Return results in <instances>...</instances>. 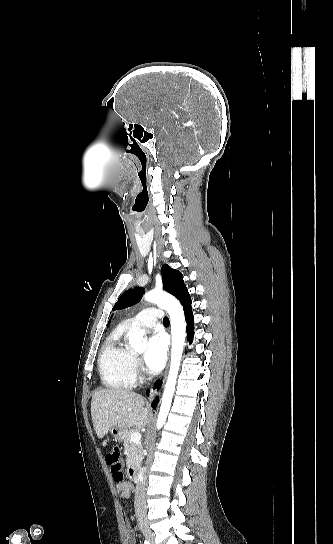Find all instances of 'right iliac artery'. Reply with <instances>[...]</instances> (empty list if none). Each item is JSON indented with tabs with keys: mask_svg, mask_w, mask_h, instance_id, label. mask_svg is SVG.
I'll use <instances>...</instances> for the list:
<instances>
[{
	"mask_svg": "<svg viewBox=\"0 0 333 544\" xmlns=\"http://www.w3.org/2000/svg\"><path fill=\"white\" fill-rule=\"evenodd\" d=\"M144 544H150L148 541H145Z\"/></svg>",
	"mask_w": 333,
	"mask_h": 544,
	"instance_id": "82829eb1",
	"label": "right iliac artery"
}]
</instances>
